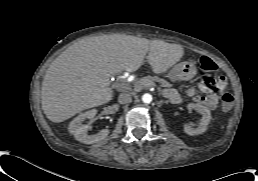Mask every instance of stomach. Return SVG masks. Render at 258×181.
Returning <instances> with one entry per match:
<instances>
[{
    "label": "stomach",
    "mask_w": 258,
    "mask_h": 181,
    "mask_svg": "<svg viewBox=\"0 0 258 181\" xmlns=\"http://www.w3.org/2000/svg\"><path fill=\"white\" fill-rule=\"evenodd\" d=\"M171 74L174 75L175 77L184 79L194 75L195 68L187 62H182L175 65V67L171 71Z\"/></svg>",
    "instance_id": "obj_1"
}]
</instances>
